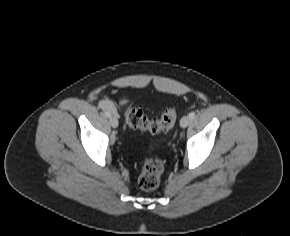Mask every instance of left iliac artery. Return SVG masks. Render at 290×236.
<instances>
[{"mask_svg": "<svg viewBox=\"0 0 290 236\" xmlns=\"http://www.w3.org/2000/svg\"><path fill=\"white\" fill-rule=\"evenodd\" d=\"M194 117H195V113L194 112L189 113V118L190 119H193Z\"/></svg>", "mask_w": 290, "mask_h": 236, "instance_id": "1", "label": "left iliac artery"}]
</instances>
